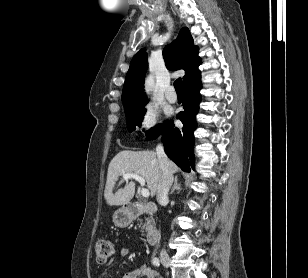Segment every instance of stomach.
I'll use <instances>...</instances> for the list:
<instances>
[{
	"label": "stomach",
	"instance_id": "0dacf381",
	"mask_svg": "<svg viewBox=\"0 0 308 278\" xmlns=\"http://www.w3.org/2000/svg\"><path fill=\"white\" fill-rule=\"evenodd\" d=\"M131 221V214L127 208H121L113 214V222L117 227H125Z\"/></svg>",
	"mask_w": 308,
	"mask_h": 278
}]
</instances>
